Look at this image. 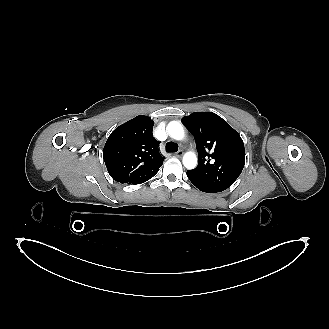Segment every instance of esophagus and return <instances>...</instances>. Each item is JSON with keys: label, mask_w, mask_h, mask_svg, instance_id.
I'll list each match as a JSON object with an SVG mask.
<instances>
[{"label": "esophagus", "mask_w": 329, "mask_h": 329, "mask_svg": "<svg viewBox=\"0 0 329 329\" xmlns=\"http://www.w3.org/2000/svg\"><path fill=\"white\" fill-rule=\"evenodd\" d=\"M183 151L182 150H179V151H177L176 153H175V156H177V157H181V156H183Z\"/></svg>", "instance_id": "34e87169"}]
</instances>
